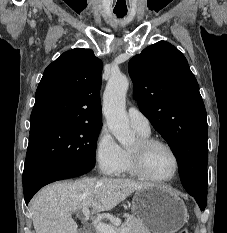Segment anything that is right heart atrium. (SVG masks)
Returning <instances> with one entry per match:
<instances>
[{
  "label": "right heart atrium",
  "mask_w": 227,
  "mask_h": 233,
  "mask_svg": "<svg viewBox=\"0 0 227 233\" xmlns=\"http://www.w3.org/2000/svg\"><path fill=\"white\" fill-rule=\"evenodd\" d=\"M94 155L103 173L107 175L120 173L124 161V150L106 126H103L98 133Z\"/></svg>",
  "instance_id": "d8ad5b80"
}]
</instances>
